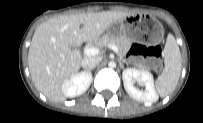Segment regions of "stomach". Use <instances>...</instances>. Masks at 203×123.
<instances>
[{
  "label": "stomach",
  "instance_id": "obj_1",
  "mask_svg": "<svg viewBox=\"0 0 203 123\" xmlns=\"http://www.w3.org/2000/svg\"><path fill=\"white\" fill-rule=\"evenodd\" d=\"M107 33L113 36L123 35L130 41H143L157 45L164 37V30L159 21L153 17L140 15L137 20L122 21L108 28Z\"/></svg>",
  "mask_w": 203,
  "mask_h": 123
}]
</instances>
